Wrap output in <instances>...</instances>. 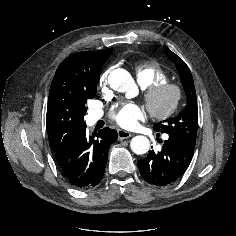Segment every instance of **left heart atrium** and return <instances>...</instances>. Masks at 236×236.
I'll list each match as a JSON object with an SVG mask.
<instances>
[{"instance_id":"1","label":"left heart atrium","mask_w":236,"mask_h":236,"mask_svg":"<svg viewBox=\"0 0 236 236\" xmlns=\"http://www.w3.org/2000/svg\"><path fill=\"white\" fill-rule=\"evenodd\" d=\"M111 117L119 126L133 129L145 118V111L135 103H125L115 107Z\"/></svg>"}]
</instances>
